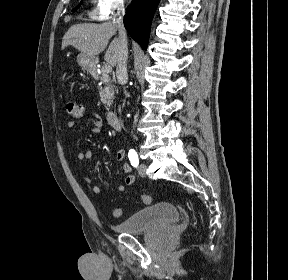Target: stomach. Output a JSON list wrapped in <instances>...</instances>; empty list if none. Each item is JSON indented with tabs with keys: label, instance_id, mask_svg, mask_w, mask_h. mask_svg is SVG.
Returning a JSON list of instances; mask_svg holds the SVG:
<instances>
[{
	"label": "stomach",
	"instance_id": "1",
	"mask_svg": "<svg viewBox=\"0 0 288 280\" xmlns=\"http://www.w3.org/2000/svg\"><path fill=\"white\" fill-rule=\"evenodd\" d=\"M77 62L82 68L92 70L97 63V58L88 56L87 54L84 53H80L77 56Z\"/></svg>",
	"mask_w": 288,
	"mask_h": 280
}]
</instances>
